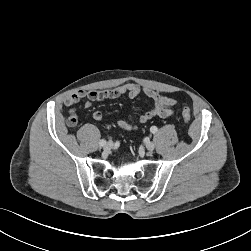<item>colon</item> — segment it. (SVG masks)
I'll list each match as a JSON object with an SVG mask.
<instances>
[{"mask_svg":"<svg viewBox=\"0 0 251 251\" xmlns=\"http://www.w3.org/2000/svg\"><path fill=\"white\" fill-rule=\"evenodd\" d=\"M182 117L187 122L191 120V111L188 107H184L182 109ZM66 123L69 126H74L77 123V117L73 111L70 113V116L68 117Z\"/></svg>","mask_w":251,"mask_h":251,"instance_id":"5ec220e1","label":"colon"}]
</instances>
